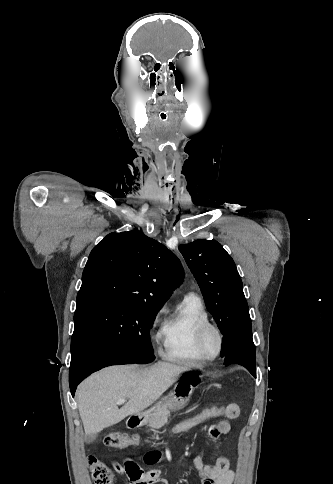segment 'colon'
Returning <instances> with one entry per match:
<instances>
[{"label":"colon","instance_id":"colon-1","mask_svg":"<svg viewBox=\"0 0 333 484\" xmlns=\"http://www.w3.org/2000/svg\"><path fill=\"white\" fill-rule=\"evenodd\" d=\"M223 416V408L210 406L190 415L177 423L169 430L170 436H180L190 432L194 428ZM103 442L111 448H124L139 442L138 436H130L125 433L111 432L107 434ZM88 465L95 484H113V474L109 467L94 457L88 458Z\"/></svg>","mask_w":333,"mask_h":484}]
</instances>
